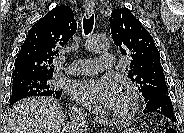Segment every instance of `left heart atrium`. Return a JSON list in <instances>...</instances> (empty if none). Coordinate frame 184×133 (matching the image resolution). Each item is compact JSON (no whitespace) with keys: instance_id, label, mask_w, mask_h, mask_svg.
I'll return each instance as SVG.
<instances>
[{"instance_id":"1","label":"left heart atrium","mask_w":184,"mask_h":133,"mask_svg":"<svg viewBox=\"0 0 184 133\" xmlns=\"http://www.w3.org/2000/svg\"><path fill=\"white\" fill-rule=\"evenodd\" d=\"M70 93L76 102L97 114L113 110L119 99L116 83L108 78L77 80Z\"/></svg>"}]
</instances>
